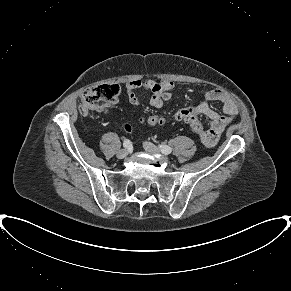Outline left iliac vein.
<instances>
[{
  "label": "left iliac vein",
  "mask_w": 291,
  "mask_h": 291,
  "mask_svg": "<svg viewBox=\"0 0 291 291\" xmlns=\"http://www.w3.org/2000/svg\"><path fill=\"white\" fill-rule=\"evenodd\" d=\"M143 146H144V149L150 154H154V155L160 154L159 148L150 142H144Z\"/></svg>",
  "instance_id": "left-iliac-vein-1"
}]
</instances>
